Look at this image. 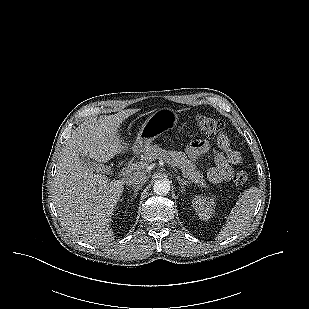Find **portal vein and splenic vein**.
Segmentation results:
<instances>
[{
  "mask_svg": "<svg viewBox=\"0 0 309 309\" xmlns=\"http://www.w3.org/2000/svg\"><path fill=\"white\" fill-rule=\"evenodd\" d=\"M167 163L171 164L169 161H167ZM144 166L145 165L143 163L129 165L124 169V171H121L119 173V176H121L123 173H128L131 172L132 170L137 169L138 167H144Z\"/></svg>",
  "mask_w": 309,
  "mask_h": 309,
  "instance_id": "portal-vein-and-splenic-vein-1",
  "label": "portal vein and splenic vein"
}]
</instances>
